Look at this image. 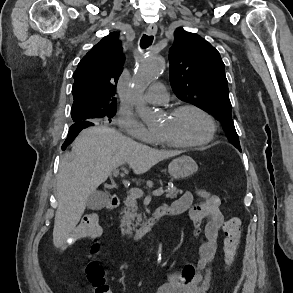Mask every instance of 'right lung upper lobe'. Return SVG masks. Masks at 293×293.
Listing matches in <instances>:
<instances>
[{
    "instance_id": "right-lung-upper-lobe-1",
    "label": "right lung upper lobe",
    "mask_w": 293,
    "mask_h": 293,
    "mask_svg": "<svg viewBox=\"0 0 293 293\" xmlns=\"http://www.w3.org/2000/svg\"><path fill=\"white\" fill-rule=\"evenodd\" d=\"M123 62L119 35L112 32L102 38L79 62L73 74L72 109L116 107V82L123 70Z\"/></svg>"
}]
</instances>
